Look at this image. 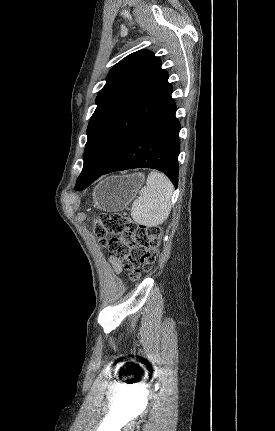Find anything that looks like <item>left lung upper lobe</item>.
<instances>
[{"label": "left lung upper lobe", "instance_id": "obj_1", "mask_svg": "<svg viewBox=\"0 0 275 431\" xmlns=\"http://www.w3.org/2000/svg\"><path fill=\"white\" fill-rule=\"evenodd\" d=\"M161 65L153 52L139 50L110 70L88 124L82 181L105 170L169 99L172 85Z\"/></svg>", "mask_w": 275, "mask_h": 431}]
</instances>
